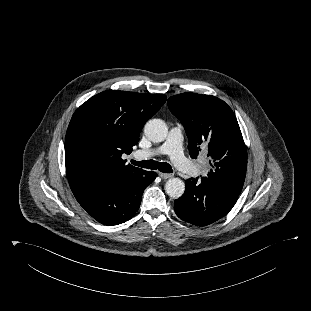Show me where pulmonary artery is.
Here are the masks:
<instances>
[{
  "instance_id": "pulmonary-artery-1",
  "label": "pulmonary artery",
  "mask_w": 311,
  "mask_h": 311,
  "mask_svg": "<svg viewBox=\"0 0 311 311\" xmlns=\"http://www.w3.org/2000/svg\"><path fill=\"white\" fill-rule=\"evenodd\" d=\"M182 139V127L176 125L170 129L166 141L160 147L138 151L135 156L137 158H149L167 154L180 171L189 175H196L199 173L200 168L185 157L182 149Z\"/></svg>"
}]
</instances>
